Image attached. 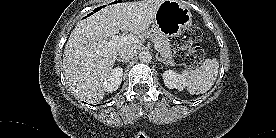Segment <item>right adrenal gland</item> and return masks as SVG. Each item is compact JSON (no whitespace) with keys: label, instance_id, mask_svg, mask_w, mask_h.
I'll return each instance as SVG.
<instances>
[{"label":"right adrenal gland","instance_id":"obj_1","mask_svg":"<svg viewBox=\"0 0 276 138\" xmlns=\"http://www.w3.org/2000/svg\"><path fill=\"white\" fill-rule=\"evenodd\" d=\"M118 62H123V63H127L128 61H126V60H123V59H119V58H117L116 59Z\"/></svg>","mask_w":276,"mask_h":138}]
</instances>
